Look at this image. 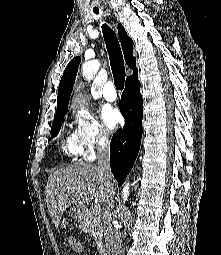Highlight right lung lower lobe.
I'll list each match as a JSON object with an SVG mask.
<instances>
[{"label":"right lung lower lobe","mask_w":221,"mask_h":255,"mask_svg":"<svg viewBox=\"0 0 221 255\" xmlns=\"http://www.w3.org/2000/svg\"><path fill=\"white\" fill-rule=\"evenodd\" d=\"M137 75L135 72L126 80L120 102L125 126L117 130L110 144L111 171L120 185L130 172L141 144L143 109Z\"/></svg>","instance_id":"obj_1"}]
</instances>
